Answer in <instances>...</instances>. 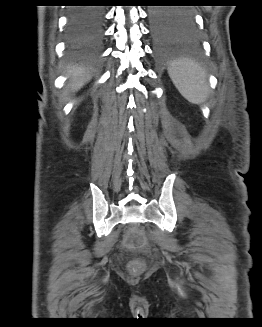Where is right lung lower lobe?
Wrapping results in <instances>:
<instances>
[{
  "label": "right lung lower lobe",
  "instance_id": "1",
  "mask_svg": "<svg viewBox=\"0 0 262 327\" xmlns=\"http://www.w3.org/2000/svg\"><path fill=\"white\" fill-rule=\"evenodd\" d=\"M104 11L99 7H79L70 11L68 35L72 44L97 45L103 35Z\"/></svg>",
  "mask_w": 262,
  "mask_h": 327
}]
</instances>
